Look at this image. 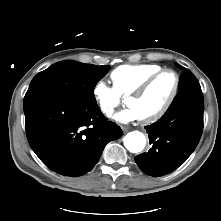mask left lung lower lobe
Masks as SVG:
<instances>
[{"label": "left lung lower lobe", "instance_id": "1", "mask_svg": "<svg viewBox=\"0 0 221 221\" xmlns=\"http://www.w3.org/2000/svg\"><path fill=\"white\" fill-rule=\"evenodd\" d=\"M203 111L200 85H191L158 122L145 127L152 147L147 153L135 157L139 168L157 177L181 166L199 143Z\"/></svg>", "mask_w": 221, "mask_h": 221}]
</instances>
